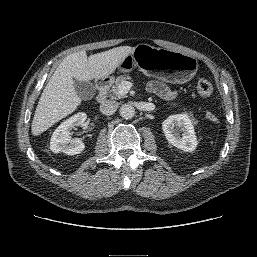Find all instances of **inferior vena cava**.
<instances>
[{
    "instance_id": "1",
    "label": "inferior vena cava",
    "mask_w": 257,
    "mask_h": 257,
    "mask_svg": "<svg viewBox=\"0 0 257 257\" xmlns=\"http://www.w3.org/2000/svg\"><path fill=\"white\" fill-rule=\"evenodd\" d=\"M118 103L112 100H106L100 105V112L104 115H112L116 112Z\"/></svg>"
}]
</instances>
